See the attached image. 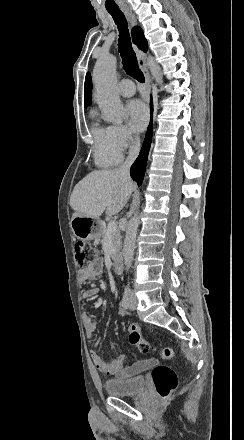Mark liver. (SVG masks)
I'll return each mask as SVG.
<instances>
[{"mask_svg":"<svg viewBox=\"0 0 244 440\" xmlns=\"http://www.w3.org/2000/svg\"><path fill=\"white\" fill-rule=\"evenodd\" d=\"M132 190L130 178L119 170H96L76 184L70 206L78 214L96 220L105 210L107 216H116L127 204Z\"/></svg>","mask_w":244,"mask_h":440,"instance_id":"liver-1","label":"liver"}]
</instances>
